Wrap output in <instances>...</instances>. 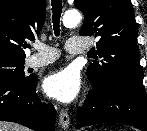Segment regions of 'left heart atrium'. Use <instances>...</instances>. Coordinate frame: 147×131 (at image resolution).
Segmentation results:
<instances>
[{
  "label": "left heart atrium",
  "mask_w": 147,
  "mask_h": 131,
  "mask_svg": "<svg viewBox=\"0 0 147 131\" xmlns=\"http://www.w3.org/2000/svg\"><path fill=\"white\" fill-rule=\"evenodd\" d=\"M43 88L48 96L69 103L76 99L80 93L81 78L75 69L61 68L46 77Z\"/></svg>",
  "instance_id": "obj_1"
}]
</instances>
